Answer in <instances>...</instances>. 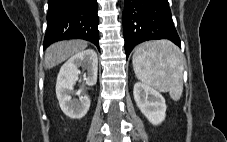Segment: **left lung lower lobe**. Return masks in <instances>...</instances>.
<instances>
[{"label":"left lung lower lobe","instance_id":"0a47b994","mask_svg":"<svg viewBox=\"0 0 227 142\" xmlns=\"http://www.w3.org/2000/svg\"><path fill=\"white\" fill-rule=\"evenodd\" d=\"M125 52L148 40L168 39L181 47L168 0H125L123 11Z\"/></svg>","mask_w":227,"mask_h":142}]
</instances>
